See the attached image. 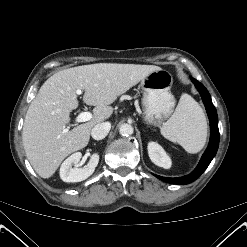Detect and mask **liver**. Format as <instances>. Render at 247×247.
<instances>
[{
    "label": "liver",
    "instance_id": "liver-1",
    "mask_svg": "<svg viewBox=\"0 0 247 247\" xmlns=\"http://www.w3.org/2000/svg\"><path fill=\"white\" fill-rule=\"evenodd\" d=\"M160 69L154 65L97 63L64 69L48 78L27 110L22 131L26 156L36 173L50 178L69 154L87 146L93 126L112 115L110 105L121 94ZM78 89L85 91L83 101L95 106L93 117L64 132L70 112L78 107Z\"/></svg>",
    "mask_w": 247,
    "mask_h": 247
}]
</instances>
